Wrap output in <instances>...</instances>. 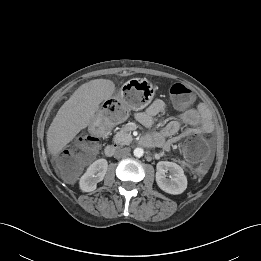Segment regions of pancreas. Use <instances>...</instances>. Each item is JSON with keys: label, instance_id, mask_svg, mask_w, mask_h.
Here are the masks:
<instances>
[{"label": "pancreas", "instance_id": "obj_1", "mask_svg": "<svg viewBox=\"0 0 261 261\" xmlns=\"http://www.w3.org/2000/svg\"><path fill=\"white\" fill-rule=\"evenodd\" d=\"M133 140L132 135L129 132L128 126H123L119 132L116 133V135L113 138V141L115 144L118 145H129L131 141Z\"/></svg>", "mask_w": 261, "mask_h": 261}]
</instances>
